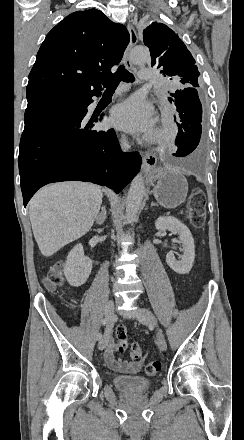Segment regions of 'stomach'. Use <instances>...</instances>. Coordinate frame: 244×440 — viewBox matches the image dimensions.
<instances>
[{
  "label": "stomach",
  "mask_w": 244,
  "mask_h": 440,
  "mask_svg": "<svg viewBox=\"0 0 244 440\" xmlns=\"http://www.w3.org/2000/svg\"><path fill=\"white\" fill-rule=\"evenodd\" d=\"M157 184L154 186L153 194L160 206L163 208H177L183 204L188 194V182L179 170L164 168L154 170Z\"/></svg>",
  "instance_id": "stomach-1"
}]
</instances>
